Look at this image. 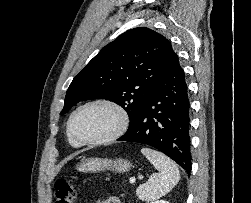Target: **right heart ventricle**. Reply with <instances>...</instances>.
I'll list each match as a JSON object with an SVG mask.
<instances>
[{
  "mask_svg": "<svg viewBox=\"0 0 251 203\" xmlns=\"http://www.w3.org/2000/svg\"><path fill=\"white\" fill-rule=\"evenodd\" d=\"M67 137H68L69 143H70L72 146L77 147V146L79 145V144H77V143L69 136L68 132H67Z\"/></svg>",
  "mask_w": 251,
  "mask_h": 203,
  "instance_id": "1",
  "label": "right heart ventricle"
}]
</instances>
